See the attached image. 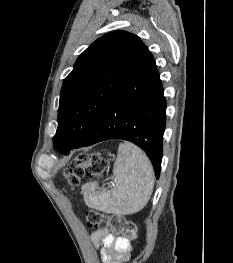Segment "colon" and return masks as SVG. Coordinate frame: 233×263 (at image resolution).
Listing matches in <instances>:
<instances>
[{"mask_svg":"<svg viewBox=\"0 0 233 263\" xmlns=\"http://www.w3.org/2000/svg\"><path fill=\"white\" fill-rule=\"evenodd\" d=\"M106 169V160L97 152L79 153L67 166L64 176L72 187L78 186L84 177L93 178L101 175ZM90 227L109 228L115 234L137 241L138 233L133 221L123 215H107L97 211H89L86 216Z\"/></svg>","mask_w":233,"mask_h":263,"instance_id":"5ec220e1","label":"colon"}]
</instances>
